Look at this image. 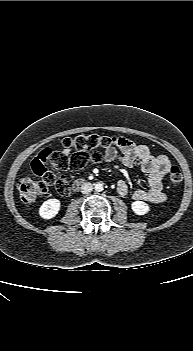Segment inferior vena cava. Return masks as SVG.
<instances>
[{
	"label": "inferior vena cava",
	"mask_w": 193,
	"mask_h": 351,
	"mask_svg": "<svg viewBox=\"0 0 193 351\" xmlns=\"http://www.w3.org/2000/svg\"><path fill=\"white\" fill-rule=\"evenodd\" d=\"M92 190H93V185L89 182H86L81 186V192L83 194H89L92 192Z\"/></svg>",
	"instance_id": "1"
}]
</instances>
